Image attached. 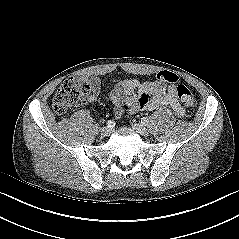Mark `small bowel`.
Returning a JSON list of instances; mask_svg holds the SVG:
<instances>
[{"label": "small bowel", "mask_w": 239, "mask_h": 239, "mask_svg": "<svg viewBox=\"0 0 239 239\" xmlns=\"http://www.w3.org/2000/svg\"><path fill=\"white\" fill-rule=\"evenodd\" d=\"M79 81L89 87L91 91L89 101H96L102 89L100 78L82 75ZM108 97L114 104V113L117 117L122 115L123 100L127 102L130 113L153 111L169 105L177 116H185V110L178 101L175 87L158 79L143 83L137 79L116 80L114 87L108 92Z\"/></svg>", "instance_id": "c3829d8e"}]
</instances>
